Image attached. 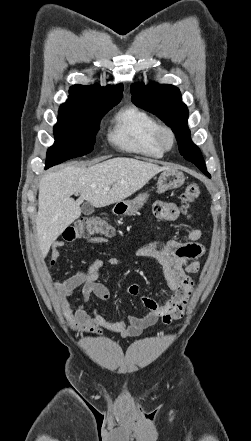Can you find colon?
Instances as JSON below:
<instances>
[{"mask_svg": "<svg viewBox=\"0 0 251 441\" xmlns=\"http://www.w3.org/2000/svg\"><path fill=\"white\" fill-rule=\"evenodd\" d=\"M199 194L200 189L196 183L192 182L186 186L181 195V209L184 214L189 213ZM113 235L114 229L106 220L85 217L68 226L63 233V239L67 242H72L95 236L112 237Z\"/></svg>", "mask_w": 251, "mask_h": 441, "instance_id": "1", "label": "colon"}]
</instances>
